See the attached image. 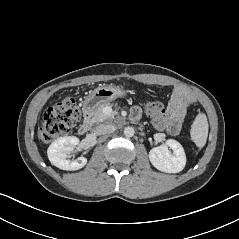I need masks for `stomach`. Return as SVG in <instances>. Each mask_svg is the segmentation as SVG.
Listing matches in <instances>:
<instances>
[{
    "mask_svg": "<svg viewBox=\"0 0 239 239\" xmlns=\"http://www.w3.org/2000/svg\"><path fill=\"white\" fill-rule=\"evenodd\" d=\"M125 91L117 86H101L91 92L84 100L83 110L93 114L96 110L119 97H123Z\"/></svg>",
    "mask_w": 239,
    "mask_h": 239,
    "instance_id": "obj_1",
    "label": "stomach"
}]
</instances>
